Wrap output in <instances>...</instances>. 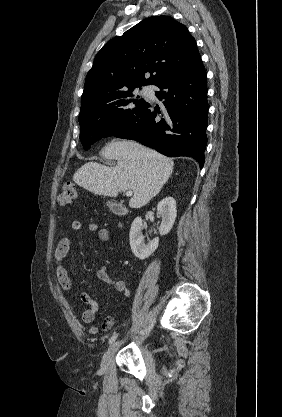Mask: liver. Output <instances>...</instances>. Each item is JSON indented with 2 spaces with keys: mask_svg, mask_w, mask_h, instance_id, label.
<instances>
[{
  "mask_svg": "<svg viewBox=\"0 0 282 417\" xmlns=\"http://www.w3.org/2000/svg\"><path fill=\"white\" fill-rule=\"evenodd\" d=\"M102 154L115 158L116 166H105L94 160L85 162L74 172V182L103 196H117L121 190H132L131 209H140L156 196L174 168L172 158L135 140H113Z\"/></svg>",
  "mask_w": 282,
  "mask_h": 417,
  "instance_id": "1",
  "label": "liver"
}]
</instances>
